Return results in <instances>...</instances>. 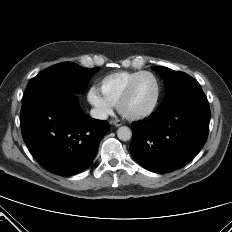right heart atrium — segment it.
<instances>
[{"instance_id": "d8ad5b80", "label": "right heart atrium", "mask_w": 232, "mask_h": 232, "mask_svg": "<svg viewBox=\"0 0 232 232\" xmlns=\"http://www.w3.org/2000/svg\"><path fill=\"white\" fill-rule=\"evenodd\" d=\"M87 99L100 118H105L112 113L113 105L102 96L97 88L91 87L88 90Z\"/></svg>"}]
</instances>
